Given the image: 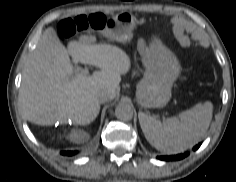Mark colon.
Wrapping results in <instances>:
<instances>
[{
    "instance_id": "1",
    "label": "colon",
    "mask_w": 236,
    "mask_h": 182,
    "mask_svg": "<svg viewBox=\"0 0 236 182\" xmlns=\"http://www.w3.org/2000/svg\"><path fill=\"white\" fill-rule=\"evenodd\" d=\"M112 24L103 14L94 13L64 19L59 23L58 31L64 39L75 37L79 32L86 30H101Z\"/></svg>"
}]
</instances>
